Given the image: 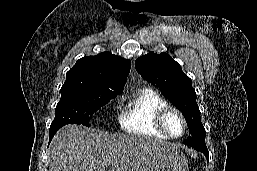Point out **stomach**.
<instances>
[{"mask_svg":"<svg viewBox=\"0 0 257 171\" xmlns=\"http://www.w3.org/2000/svg\"><path fill=\"white\" fill-rule=\"evenodd\" d=\"M136 171H189L186 157L177 149L148 152Z\"/></svg>","mask_w":257,"mask_h":171,"instance_id":"0dacf381","label":"stomach"}]
</instances>
